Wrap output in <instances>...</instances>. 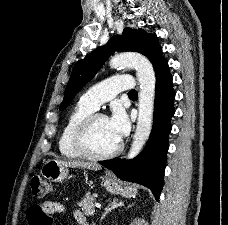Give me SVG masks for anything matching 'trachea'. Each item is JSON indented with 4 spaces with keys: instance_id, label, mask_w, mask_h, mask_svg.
Segmentation results:
<instances>
[{
    "instance_id": "trachea-1",
    "label": "trachea",
    "mask_w": 228,
    "mask_h": 225,
    "mask_svg": "<svg viewBox=\"0 0 228 225\" xmlns=\"http://www.w3.org/2000/svg\"><path fill=\"white\" fill-rule=\"evenodd\" d=\"M137 95V91L136 90H130L128 92V96H136Z\"/></svg>"
}]
</instances>
